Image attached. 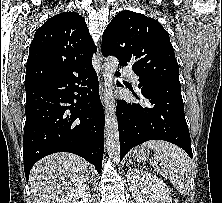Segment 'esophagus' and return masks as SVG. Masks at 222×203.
<instances>
[{
  "label": "esophagus",
  "instance_id": "1",
  "mask_svg": "<svg viewBox=\"0 0 222 203\" xmlns=\"http://www.w3.org/2000/svg\"><path fill=\"white\" fill-rule=\"evenodd\" d=\"M97 58H98V61H99V64H100L101 75H103V56H102V53H101L100 50L97 54ZM100 94H101L102 102L105 105V89H104V85H103L102 82H101V85H100Z\"/></svg>",
  "mask_w": 222,
  "mask_h": 203
}]
</instances>
